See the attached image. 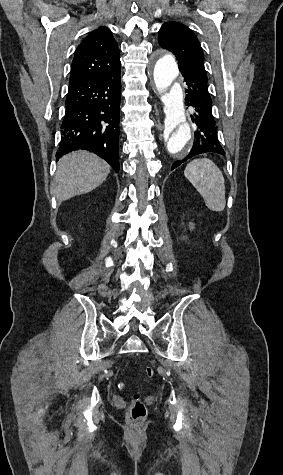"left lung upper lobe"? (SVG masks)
<instances>
[{
  "mask_svg": "<svg viewBox=\"0 0 283 475\" xmlns=\"http://www.w3.org/2000/svg\"><path fill=\"white\" fill-rule=\"evenodd\" d=\"M159 45L172 51L179 63V70L189 69L206 73L204 54L196 35L184 24L166 22L158 34Z\"/></svg>",
  "mask_w": 283,
  "mask_h": 475,
  "instance_id": "obj_1",
  "label": "left lung upper lobe"
}]
</instances>
